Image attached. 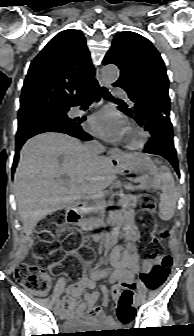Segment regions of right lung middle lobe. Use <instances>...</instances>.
Listing matches in <instances>:
<instances>
[{
  "mask_svg": "<svg viewBox=\"0 0 194 336\" xmlns=\"http://www.w3.org/2000/svg\"><path fill=\"white\" fill-rule=\"evenodd\" d=\"M67 111L68 108H43L19 112L18 129L35 124L71 125L75 119L68 118Z\"/></svg>",
  "mask_w": 194,
  "mask_h": 336,
  "instance_id": "obj_1",
  "label": "right lung middle lobe"
}]
</instances>
